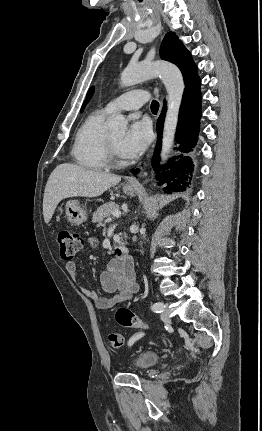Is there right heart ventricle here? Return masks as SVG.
<instances>
[{
  "instance_id": "e07e8e85",
  "label": "right heart ventricle",
  "mask_w": 262,
  "mask_h": 431,
  "mask_svg": "<svg viewBox=\"0 0 262 431\" xmlns=\"http://www.w3.org/2000/svg\"><path fill=\"white\" fill-rule=\"evenodd\" d=\"M109 113L105 108L93 111L77 130L72 154L82 167L93 170L107 167L109 134L105 128V120Z\"/></svg>"
}]
</instances>
